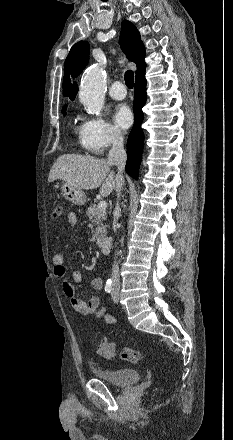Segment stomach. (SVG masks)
<instances>
[{
  "label": "stomach",
  "instance_id": "1",
  "mask_svg": "<svg viewBox=\"0 0 233 440\" xmlns=\"http://www.w3.org/2000/svg\"><path fill=\"white\" fill-rule=\"evenodd\" d=\"M62 196L75 205H83L86 202V195L81 189L72 187L71 185L64 183L61 186Z\"/></svg>",
  "mask_w": 233,
  "mask_h": 440
}]
</instances>
